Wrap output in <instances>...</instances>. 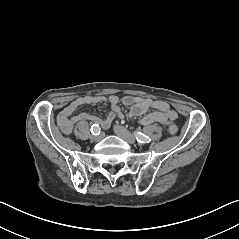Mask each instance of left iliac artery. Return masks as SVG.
I'll return each mask as SVG.
<instances>
[{
	"mask_svg": "<svg viewBox=\"0 0 239 239\" xmlns=\"http://www.w3.org/2000/svg\"><path fill=\"white\" fill-rule=\"evenodd\" d=\"M134 135L136 140L140 143H149L151 141V139L148 136H146L141 132H135Z\"/></svg>",
	"mask_w": 239,
	"mask_h": 239,
	"instance_id": "1",
	"label": "left iliac artery"
}]
</instances>
